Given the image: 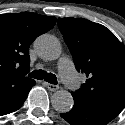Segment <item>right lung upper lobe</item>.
Instances as JSON below:
<instances>
[{
    "instance_id": "cb5924a9",
    "label": "right lung upper lobe",
    "mask_w": 125,
    "mask_h": 125,
    "mask_svg": "<svg viewBox=\"0 0 125 125\" xmlns=\"http://www.w3.org/2000/svg\"><path fill=\"white\" fill-rule=\"evenodd\" d=\"M55 23L53 16L30 12L0 15V92L34 82L26 76L30 69L29 46Z\"/></svg>"
}]
</instances>
